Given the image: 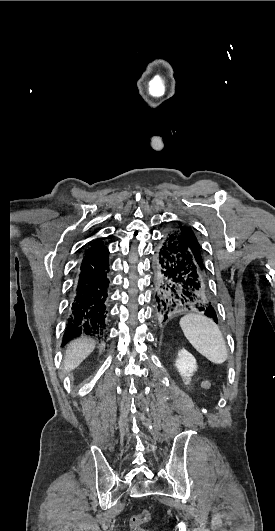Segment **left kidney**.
I'll return each mask as SVG.
<instances>
[{
	"instance_id": "5707ae66",
	"label": "left kidney",
	"mask_w": 275,
	"mask_h": 531,
	"mask_svg": "<svg viewBox=\"0 0 275 531\" xmlns=\"http://www.w3.org/2000/svg\"><path fill=\"white\" fill-rule=\"evenodd\" d=\"M175 365L181 377L186 381L185 385H189L190 377H192L194 371L197 369L195 357H193L191 353H188L186 349H181L178 353V359Z\"/></svg>"
}]
</instances>
